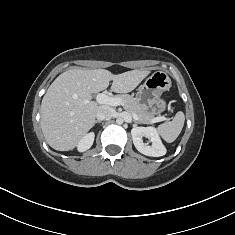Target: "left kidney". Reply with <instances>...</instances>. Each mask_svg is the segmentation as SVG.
<instances>
[{"label":"left kidney","instance_id":"5707ae66","mask_svg":"<svg viewBox=\"0 0 235 235\" xmlns=\"http://www.w3.org/2000/svg\"><path fill=\"white\" fill-rule=\"evenodd\" d=\"M132 140L136 149L152 157H160L166 154V149L161 142L156 128L154 127H134L131 130ZM143 137L148 138L151 145L143 142Z\"/></svg>","mask_w":235,"mask_h":235}]
</instances>
